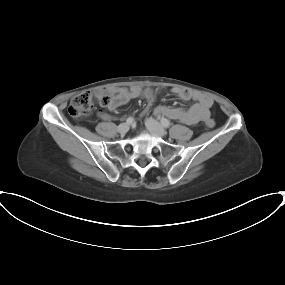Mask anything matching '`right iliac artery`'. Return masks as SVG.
I'll return each instance as SVG.
<instances>
[{"mask_svg": "<svg viewBox=\"0 0 285 285\" xmlns=\"http://www.w3.org/2000/svg\"><path fill=\"white\" fill-rule=\"evenodd\" d=\"M134 119L132 117L127 118L126 123L131 124L133 123Z\"/></svg>", "mask_w": 285, "mask_h": 285, "instance_id": "1", "label": "right iliac artery"}]
</instances>
